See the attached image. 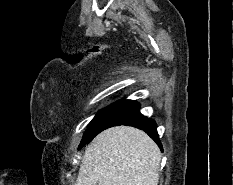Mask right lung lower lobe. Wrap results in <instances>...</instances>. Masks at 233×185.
<instances>
[{
	"label": "right lung lower lobe",
	"instance_id": "1",
	"mask_svg": "<svg viewBox=\"0 0 233 185\" xmlns=\"http://www.w3.org/2000/svg\"><path fill=\"white\" fill-rule=\"evenodd\" d=\"M139 104L132 100L121 101L102 121L99 133L109 127L118 125L133 126L145 131L160 147L162 145L156 130V123L139 112Z\"/></svg>",
	"mask_w": 233,
	"mask_h": 185
}]
</instances>
